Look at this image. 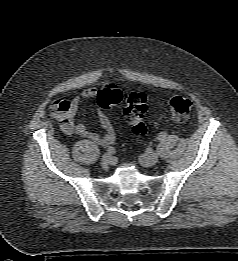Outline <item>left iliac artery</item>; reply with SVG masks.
Returning a JSON list of instances; mask_svg holds the SVG:
<instances>
[{"instance_id":"44dca946","label":"left iliac artery","mask_w":238,"mask_h":261,"mask_svg":"<svg viewBox=\"0 0 238 261\" xmlns=\"http://www.w3.org/2000/svg\"><path fill=\"white\" fill-rule=\"evenodd\" d=\"M167 138V133L166 132H161L159 135H158V137H157V139L159 140V141H163L164 139H166Z\"/></svg>"}]
</instances>
